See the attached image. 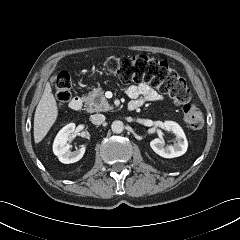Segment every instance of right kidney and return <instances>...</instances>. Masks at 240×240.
I'll return each mask as SVG.
<instances>
[{"mask_svg": "<svg viewBox=\"0 0 240 240\" xmlns=\"http://www.w3.org/2000/svg\"><path fill=\"white\" fill-rule=\"evenodd\" d=\"M75 130V124L70 123L63 127L57 134L53 143V152L58 157L59 161L64 164L74 163L79 161L84 153L85 147L82 146L76 151L70 150V145L67 143L71 134Z\"/></svg>", "mask_w": 240, "mask_h": 240, "instance_id": "right-kidney-1", "label": "right kidney"}]
</instances>
